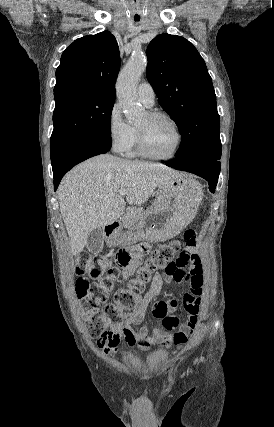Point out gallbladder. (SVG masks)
<instances>
[{"mask_svg": "<svg viewBox=\"0 0 274 427\" xmlns=\"http://www.w3.org/2000/svg\"><path fill=\"white\" fill-rule=\"evenodd\" d=\"M104 245V233L102 227L92 229L87 237L88 251L99 253Z\"/></svg>", "mask_w": 274, "mask_h": 427, "instance_id": "bac80fb5", "label": "gallbladder"}]
</instances>
